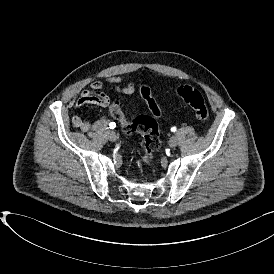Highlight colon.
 I'll use <instances>...</instances> for the list:
<instances>
[{
	"label": "colon",
	"instance_id": "colon-1",
	"mask_svg": "<svg viewBox=\"0 0 274 274\" xmlns=\"http://www.w3.org/2000/svg\"><path fill=\"white\" fill-rule=\"evenodd\" d=\"M141 93L144 96L151 94L148 87H141ZM177 96L180 100L190 106L195 112L196 118L205 123L209 117V111L205 103L202 93L193 86L181 85L177 88ZM146 104L150 113H155V117L162 114L156 100L152 97L146 100ZM111 115L117 120L124 133L131 135L133 133H141L143 136V152L138 158V163L141 166H148L153 160L155 152L159 149L158 127L155 118H150L149 115H139L132 121H128L121 109L119 102L111 104Z\"/></svg>",
	"mask_w": 274,
	"mask_h": 274
}]
</instances>
